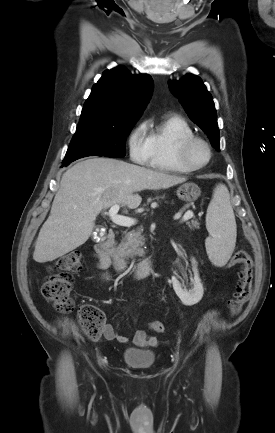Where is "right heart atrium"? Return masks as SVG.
I'll use <instances>...</instances> for the list:
<instances>
[{
	"mask_svg": "<svg viewBox=\"0 0 275 433\" xmlns=\"http://www.w3.org/2000/svg\"><path fill=\"white\" fill-rule=\"evenodd\" d=\"M128 149L132 161L145 164L149 159V145L146 124L139 123L128 136Z\"/></svg>",
	"mask_w": 275,
	"mask_h": 433,
	"instance_id": "obj_1",
	"label": "right heart atrium"
}]
</instances>
